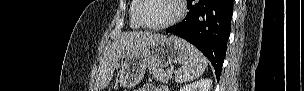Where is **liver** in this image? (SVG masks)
Segmentation results:
<instances>
[{
  "label": "liver",
  "instance_id": "obj_1",
  "mask_svg": "<svg viewBox=\"0 0 304 91\" xmlns=\"http://www.w3.org/2000/svg\"><path fill=\"white\" fill-rule=\"evenodd\" d=\"M159 34H150L146 32L124 33L109 45L103 57L100 60L97 89H104L111 81L116 65L120 58L132 51H136L144 47L153 37H159Z\"/></svg>",
  "mask_w": 304,
  "mask_h": 91
}]
</instances>
